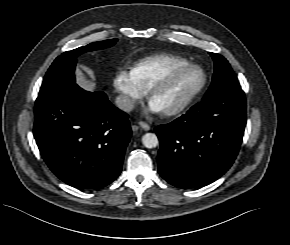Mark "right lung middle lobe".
Returning a JSON list of instances; mask_svg holds the SVG:
<instances>
[{
    "label": "right lung middle lobe",
    "mask_w": 290,
    "mask_h": 245,
    "mask_svg": "<svg viewBox=\"0 0 290 245\" xmlns=\"http://www.w3.org/2000/svg\"><path fill=\"white\" fill-rule=\"evenodd\" d=\"M117 39L91 43L58 56L47 71L39 95L44 96L75 85L74 69L79 55L113 46Z\"/></svg>",
    "instance_id": "right-lung-middle-lobe-1"
}]
</instances>
